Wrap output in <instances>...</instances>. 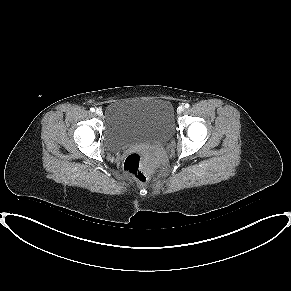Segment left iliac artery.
<instances>
[{
  "instance_id": "left-iliac-artery-1",
  "label": "left iliac artery",
  "mask_w": 291,
  "mask_h": 291,
  "mask_svg": "<svg viewBox=\"0 0 291 291\" xmlns=\"http://www.w3.org/2000/svg\"><path fill=\"white\" fill-rule=\"evenodd\" d=\"M189 106H190V105H189L188 103H186V104L184 105L185 108H189Z\"/></svg>"
}]
</instances>
